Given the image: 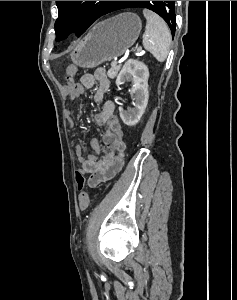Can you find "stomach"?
Wrapping results in <instances>:
<instances>
[{"label": "stomach", "mask_w": 237, "mask_h": 300, "mask_svg": "<svg viewBox=\"0 0 237 300\" xmlns=\"http://www.w3.org/2000/svg\"><path fill=\"white\" fill-rule=\"evenodd\" d=\"M142 23L135 13H121L97 23L88 35L78 41L70 57L83 69H94L104 61H112L137 41Z\"/></svg>", "instance_id": "obj_1"}]
</instances>
